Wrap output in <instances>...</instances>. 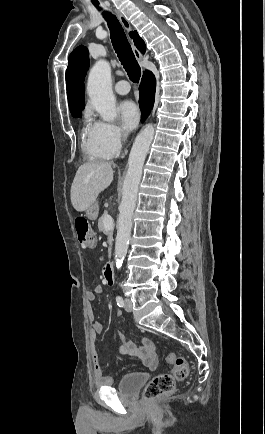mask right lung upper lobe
<instances>
[{"label":"right lung upper lobe","instance_id":"1","mask_svg":"<svg viewBox=\"0 0 265 434\" xmlns=\"http://www.w3.org/2000/svg\"><path fill=\"white\" fill-rule=\"evenodd\" d=\"M136 47L144 53L145 44L139 37L137 31L129 33ZM89 68V53L86 47L79 46L73 50L68 59L66 70V88L69 105L84 102L85 87L83 84Z\"/></svg>","mask_w":265,"mask_h":434}]
</instances>
